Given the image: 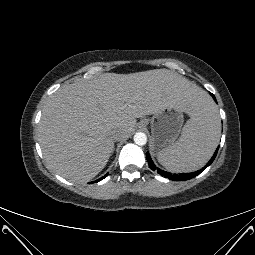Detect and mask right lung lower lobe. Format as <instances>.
Wrapping results in <instances>:
<instances>
[{
    "label": "right lung lower lobe",
    "instance_id": "1",
    "mask_svg": "<svg viewBox=\"0 0 255 255\" xmlns=\"http://www.w3.org/2000/svg\"><path fill=\"white\" fill-rule=\"evenodd\" d=\"M107 175H108V173H107L105 176L101 177L100 179H98V180H96V181H93L92 183H95V182L101 181V180H102V179H104Z\"/></svg>",
    "mask_w": 255,
    "mask_h": 255
}]
</instances>
